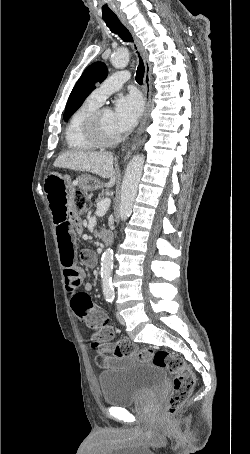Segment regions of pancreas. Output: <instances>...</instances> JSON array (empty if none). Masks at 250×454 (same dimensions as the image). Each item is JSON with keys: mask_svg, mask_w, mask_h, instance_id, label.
<instances>
[{"mask_svg": "<svg viewBox=\"0 0 250 454\" xmlns=\"http://www.w3.org/2000/svg\"><path fill=\"white\" fill-rule=\"evenodd\" d=\"M102 199H104V193L103 192L98 195V199L96 200V202L98 203Z\"/></svg>", "mask_w": 250, "mask_h": 454, "instance_id": "1", "label": "pancreas"}]
</instances>
